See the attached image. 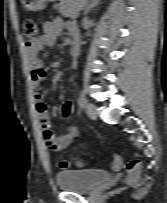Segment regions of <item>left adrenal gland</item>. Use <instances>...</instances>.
Here are the masks:
<instances>
[{
    "instance_id": "a2214340",
    "label": "left adrenal gland",
    "mask_w": 167,
    "mask_h": 203,
    "mask_svg": "<svg viewBox=\"0 0 167 203\" xmlns=\"http://www.w3.org/2000/svg\"><path fill=\"white\" fill-rule=\"evenodd\" d=\"M99 3H100V0H89V1H87L85 8H84V14L87 15Z\"/></svg>"
}]
</instances>
